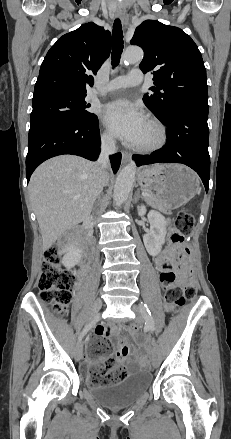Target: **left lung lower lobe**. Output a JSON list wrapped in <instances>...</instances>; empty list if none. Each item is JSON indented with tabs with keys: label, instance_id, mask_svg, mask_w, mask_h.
Here are the masks:
<instances>
[{
	"label": "left lung lower lobe",
	"instance_id": "1",
	"mask_svg": "<svg viewBox=\"0 0 231 439\" xmlns=\"http://www.w3.org/2000/svg\"><path fill=\"white\" fill-rule=\"evenodd\" d=\"M207 102L188 101L171 108L160 119L167 126V144L150 155H133L138 166L182 163L194 169L209 188L210 157Z\"/></svg>",
	"mask_w": 231,
	"mask_h": 439
}]
</instances>
